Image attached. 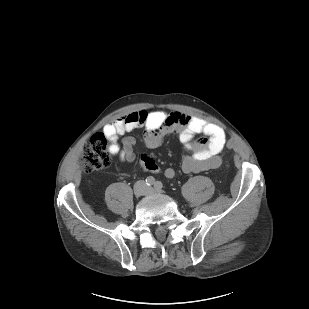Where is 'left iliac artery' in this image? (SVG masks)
<instances>
[{
    "label": "left iliac artery",
    "instance_id": "left-iliac-artery-1",
    "mask_svg": "<svg viewBox=\"0 0 309 309\" xmlns=\"http://www.w3.org/2000/svg\"><path fill=\"white\" fill-rule=\"evenodd\" d=\"M154 187L156 190L160 191L163 188V184L160 181H156Z\"/></svg>",
    "mask_w": 309,
    "mask_h": 309
}]
</instances>
